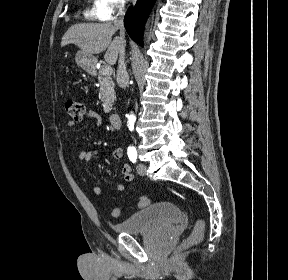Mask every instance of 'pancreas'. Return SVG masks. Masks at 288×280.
Returning a JSON list of instances; mask_svg holds the SVG:
<instances>
[{"label": "pancreas", "instance_id": "pancreas-1", "mask_svg": "<svg viewBox=\"0 0 288 280\" xmlns=\"http://www.w3.org/2000/svg\"><path fill=\"white\" fill-rule=\"evenodd\" d=\"M104 68L105 66L100 68L98 75V83L100 87L99 98L103 102L104 112L108 113L111 111L115 100V85L110 77V74L105 73Z\"/></svg>", "mask_w": 288, "mask_h": 280}]
</instances>
